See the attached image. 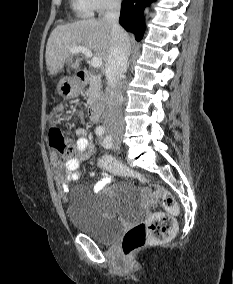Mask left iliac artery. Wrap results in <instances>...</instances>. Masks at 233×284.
<instances>
[{"instance_id": "left-iliac-artery-1", "label": "left iliac artery", "mask_w": 233, "mask_h": 284, "mask_svg": "<svg viewBox=\"0 0 233 284\" xmlns=\"http://www.w3.org/2000/svg\"><path fill=\"white\" fill-rule=\"evenodd\" d=\"M110 141H111V137L110 136H106V138L104 139V146L106 147V148H110L111 147V143H110Z\"/></svg>"}]
</instances>
